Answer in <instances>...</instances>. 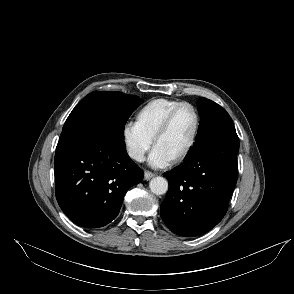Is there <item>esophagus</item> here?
Returning a JSON list of instances; mask_svg holds the SVG:
<instances>
[{"label": "esophagus", "mask_w": 294, "mask_h": 294, "mask_svg": "<svg viewBox=\"0 0 294 294\" xmlns=\"http://www.w3.org/2000/svg\"><path fill=\"white\" fill-rule=\"evenodd\" d=\"M154 176H155L154 173H152V172H150V171H148V170H145V171H144V179H145V180H149V179H151V178L154 177Z\"/></svg>", "instance_id": "obj_1"}]
</instances>
